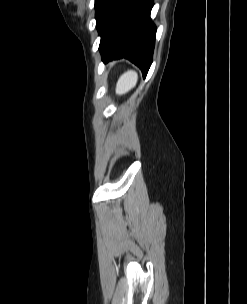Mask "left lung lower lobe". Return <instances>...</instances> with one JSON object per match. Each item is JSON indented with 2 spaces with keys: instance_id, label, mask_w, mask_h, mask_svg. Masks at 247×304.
Instances as JSON below:
<instances>
[{
  "instance_id": "obj_1",
  "label": "left lung lower lobe",
  "mask_w": 247,
  "mask_h": 304,
  "mask_svg": "<svg viewBox=\"0 0 247 304\" xmlns=\"http://www.w3.org/2000/svg\"><path fill=\"white\" fill-rule=\"evenodd\" d=\"M152 7L153 0L100 1L95 18L104 62L127 58L146 77L156 36V27L150 18Z\"/></svg>"
}]
</instances>
